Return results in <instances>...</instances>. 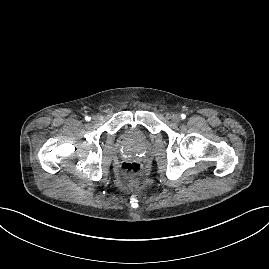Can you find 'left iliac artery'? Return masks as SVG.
I'll use <instances>...</instances> for the list:
<instances>
[{"label":"left iliac artery","instance_id":"1","mask_svg":"<svg viewBox=\"0 0 269 269\" xmlns=\"http://www.w3.org/2000/svg\"><path fill=\"white\" fill-rule=\"evenodd\" d=\"M180 116H181V119L182 120L186 118V115L185 114H181Z\"/></svg>","mask_w":269,"mask_h":269}]
</instances>
